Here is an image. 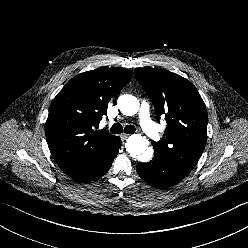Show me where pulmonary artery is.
I'll return each mask as SVG.
<instances>
[{"instance_id": "e3ab8cb5", "label": "pulmonary artery", "mask_w": 248, "mask_h": 248, "mask_svg": "<svg viewBox=\"0 0 248 248\" xmlns=\"http://www.w3.org/2000/svg\"><path fill=\"white\" fill-rule=\"evenodd\" d=\"M140 125L143 131L152 139L159 140L160 135L156 125L150 118L149 105L147 102H143L139 112Z\"/></svg>"}]
</instances>
